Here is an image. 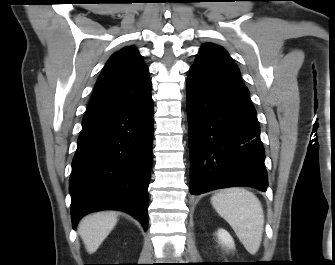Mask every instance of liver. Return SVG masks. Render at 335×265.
Masks as SVG:
<instances>
[{
    "label": "liver",
    "instance_id": "obj_1",
    "mask_svg": "<svg viewBox=\"0 0 335 265\" xmlns=\"http://www.w3.org/2000/svg\"><path fill=\"white\" fill-rule=\"evenodd\" d=\"M115 212H98L84 217L78 226L85 248L93 254L110 234L117 223Z\"/></svg>",
    "mask_w": 335,
    "mask_h": 265
}]
</instances>
